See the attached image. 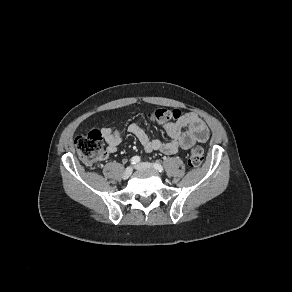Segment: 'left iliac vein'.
I'll list each match as a JSON object with an SVG mask.
<instances>
[{
	"instance_id": "obj_1",
	"label": "left iliac vein",
	"mask_w": 292,
	"mask_h": 292,
	"mask_svg": "<svg viewBox=\"0 0 292 292\" xmlns=\"http://www.w3.org/2000/svg\"><path fill=\"white\" fill-rule=\"evenodd\" d=\"M136 169L138 170H143V169H153L154 166L151 164V163H148V162H142V163H139L135 166Z\"/></svg>"
}]
</instances>
